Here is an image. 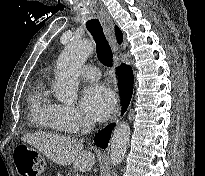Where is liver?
I'll return each instance as SVG.
<instances>
[{"mask_svg":"<svg viewBox=\"0 0 205 176\" xmlns=\"http://www.w3.org/2000/svg\"><path fill=\"white\" fill-rule=\"evenodd\" d=\"M22 140L58 165L73 164V168L80 172L90 171L95 163V155L84 150L82 143L71 137L51 133H34L24 135Z\"/></svg>","mask_w":205,"mask_h":176,"instance_id":"6515ba94","label":"liver"}]
</instances>
